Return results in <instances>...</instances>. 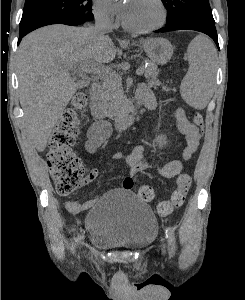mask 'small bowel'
Wrapping results in <instances>:
<instances>
[{
    "mask_svg": "<svg viewBox=\"0 0 245 300\" xmlns=\"http://www.w3.org/2000/svg\"><path fill=\"white\" fill-rule=\"evenodd\" d=\"M139 92H144L149 99V108H154L156 106V101L150 90L142 85L138 89ZM174 116L176 119L177 127L179 131L185 136L186 147L183 150L180 159L171 160L164 165L156 168V173L163 178H174L178 176L183 169V165L188 161L191 156L198 149L201 132L200 129L191 121L188 120L184 111L180 108L175 109ZM112 134L111 125L107 122L94 121L87 130V139L85 142V149L88 153H94L100 145L105 142ZM113 159L122 160L129 165L128 175L122 181V188L125 190H131L134 184V177L143 171L153 170L155 167L151 161L145 158V146L142 144L136 145L130 154L124 153H114L112 155ZM98 176V169L93 168L85 177L83 185H87ZM94 200H89L84 203H79L78 201H68L66 203L67 210L72 214H78L81 211L88 209Z\"/></svg>",
    "mask_w": 245,
    "mask_h": 300,
    "instance_id": "small-bowel-1",
    "label": "small bowel"
}]
</instances>
